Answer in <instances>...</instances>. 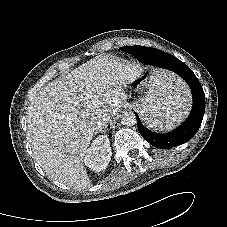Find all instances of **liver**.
Listing matches in <instances>:
<instances>
[{
    "instance_id": "6515ba94",
    "label": "liver",
    "mask_w": 227,
    "mask_h": 227,
    "mask_svg": "<svg viewBox=\"0 0 227 227\" xmlns=\"http://www.w3.org/2000/svg\"><path fill=\"white\" fill-rule=\"evenodd\" d=\"M133 79L129 64L97 56L34 95L27 111V136L34 158L50 178L77 190L91 186L83 162L99 131L97 122L121 105L123 93L111 89ZM189 101L188 95L187 111Z\"/></svg>"
}]
</instances>
